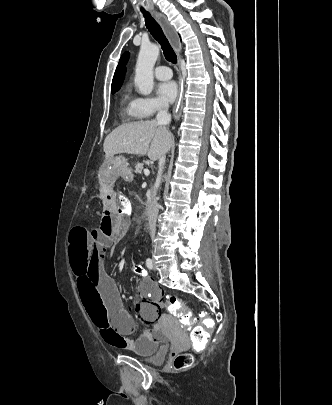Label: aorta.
<instances>
[{"label":"aorta","mask_w":332,"mask_h":405,"mask_svg":"<svg viewBox=\"0 0 332 405\" xmlns=\"http://www.w3.org/2000/svg\"><path fill=\"white\" fill-rule=\"evenodd\" d=\"M157 44H143L140 48L135 67V86L143 95H149L154 87L153 68L159 56Z\"/></svg>","instance_id":"762f6f07"}]
</instances>
